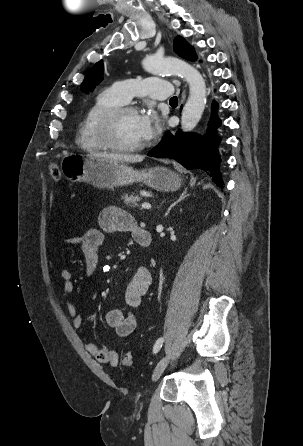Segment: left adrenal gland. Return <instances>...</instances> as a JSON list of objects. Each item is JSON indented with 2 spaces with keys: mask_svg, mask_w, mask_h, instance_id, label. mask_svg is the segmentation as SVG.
<instances>
[{
  "mask_svg": "<svg viewBox=\"0 0 303 446\" xmlns=\"http://www.w3.org/2000/svg\"><path fill=\"white\" fill-rule=\"evenodd\" d=\"M187 188L186 189H184V191L181 193V195L179 196V198L177 199V200H175L170 206H169V208L167 209V211L165 212V214H164V217H166L169 213H170V210L177 204V203H179L181 200H183V199H185L186 197H188L189 196V194H187ZM163 203V202H162ZM162 203L160 204V206L162 205ZM160 206H159V208H160Z\"/></svg>",
  "mask_w": 303,
  "mask_h": 446,
  "instance_id": "left-adrenal-gland-1",
  "label": "left adrenal gland"
}]
</instances>
